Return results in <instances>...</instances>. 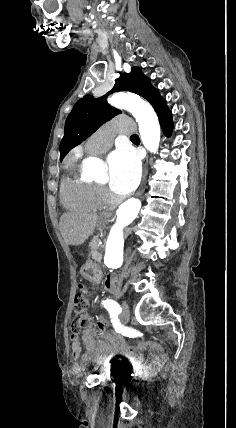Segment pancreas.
<instances>
[{
  "instance_id": "pancreas-1",
  "label": "pancreas",
  "mask_w": 236,
  "mask_h": 428,
  "mask_svg": "<svg viewBox=\"0 0 236 428\" xmlns=\"http://www.w3.org/2000/svg\"><path fill=\"white\" fill-rule=\"evenodd\" d=\"M98 242H100L98 238H93V240H91L89 244L90 250H91L90 256L91 258H93V260H95V262H101V258H102L101 248H103V246H100Z\"/></svg>"
}]
</instances>
